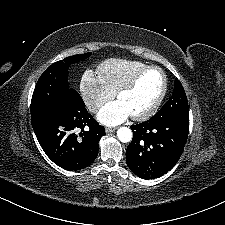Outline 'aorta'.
I'll list each match as a JSON object with an SVG mask.
<instances>
[{"label":"aorta","instance_id":"1","mask_svg":"<svg viewBox=\"0 0 225 225\" xmlns=\"http://www.w3.org/2000/svg\"><path fill=\"white\" fill-rule=\"evenodd\" d=\"M117 137L123 143L130 142L132 140V131L128 127H120L117 130Z\"/></svg>","mask_w":225,"mask_h":225}]
</instances>
